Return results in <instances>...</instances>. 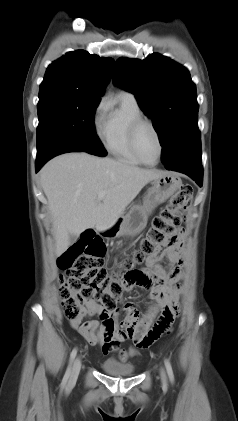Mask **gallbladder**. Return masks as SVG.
<instances>
[{
    "mask_svg": "<svg viewBox=\"0 0 238 421\" xmlns=\"http://www.w3.org/2000/svg\"><path fill=\"white\" fill-rule=\"evenodd\" d=\"M69 240L70 243H74L76 241V236L70 235Z\"/></svg>",
    "mask_w": 238,
    "mask_h": 421,
    "instance_id": "1",
    "label": "gallbladder"
}]
</instances>
